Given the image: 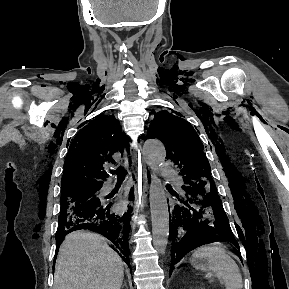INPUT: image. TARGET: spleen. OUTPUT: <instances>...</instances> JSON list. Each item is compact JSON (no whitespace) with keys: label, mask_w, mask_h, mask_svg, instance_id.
Segmentation results:
<instances>
[{"label":"spleen","mask_w":289,"mask_h":289,"mask_svg":"<svg viewBox=\"0 0 289 289\" xmlns=\"http://www.w3.org/2000/svg\"><path fill=\"white\" fill-rule=\"evenodd\" d=\"M200 260H206L201 264ZM196 269L209 271L224 283L225 289H242V275L236 262L219 243H211L198 247L191 258Z\"/></svg>","instance_id":"spleen-1"}]
</instances>
